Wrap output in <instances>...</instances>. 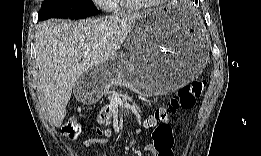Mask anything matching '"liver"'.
Listing matches in <instances>:
<instances>
[{
  "label": "liver",
  "mask_w": 261,
  "mask_h": 156,
  "mask_svg": "<svg viewBox=\"0 0 261 156\" xmlns=\"http://www.w3.org/2000/svg\"><path fill=\"white\" fill-rule=\"evenodd\" d=\"M141 13L71 22L50 19L35 34L40 92L50 123L61 126L76 82L109 61L123 45Z\"/></svg>",
  "instance_id": "1"
}]
</instances>
